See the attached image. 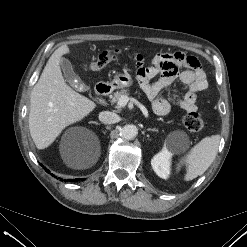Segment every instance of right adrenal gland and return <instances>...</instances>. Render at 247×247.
<instances>
[{"mask_svg": "<svg viewBox=\"0 0 247 247\" xmlns=\"http://www.w3.org/2000/svg\"><path fill=\"white\" fill-rule=\"evenodd\" d=\"M90 123L96 124V125H100L98 122L96 121H91Z\"/></svg>", "mask_w": 247, "mask_h": 247, "instance_id": "1", "label": "right adrenal gland"}]
</instances>
